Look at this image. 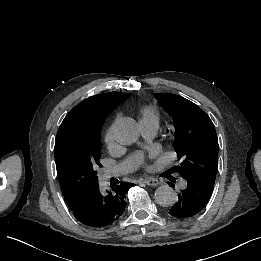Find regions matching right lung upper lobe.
<instances>
[{"instance_id": "cb5924a9", "label": "right lung upper lobe", "mask_w": 261, "mask_h": 261, "mask_svg": "<svg viewBox=\"0 0 261 261\" xmlns=\"http://www.w3.org/2000/svg\"><path fill=\"white\" fill-rule=\"evenodd\" d=\"M129 97V93L118 92L91 96L74 107L64 118L63 123L80 119L96 127H102L106 117Z\"/></svg>"}]
</instances>
